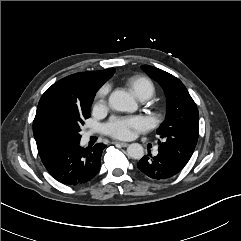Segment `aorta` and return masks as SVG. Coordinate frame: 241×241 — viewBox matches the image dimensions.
<instances>
[{
  "label": "aorta",
  "mask_w": 241,
  "mask_h": 241,
  "mask_svg": "<svg viewBox=\"0 0 241 241\" xmlns=\"http://www.w3.org/2000/svg\"><path fill=\"white\" fill-rule=\"evenodd\" d=\"M109 106L116 111L135 112L138 105L134 98L126 91L115 90L109 96ZM127 154L132 159H141L144 156V148L138 143L130 144Z\"/></svg>",
  "instance_id": "aorta-1"
}]
</instances>
